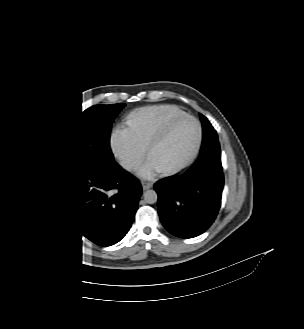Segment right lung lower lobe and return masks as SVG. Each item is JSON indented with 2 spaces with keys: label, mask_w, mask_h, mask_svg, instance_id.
Instances as JSON below:
<instances>
[{
  "label": "right lung lower lobe",
  "mask_w": 304,
  "mask_h": 329,
  "mask_svg": "<svg viewBox=\"0 0 304 329\" xmlns=\"http://www.w3.org/2000/svg\"><path fill=\"white\" fill-rule=\"evenodd\" d=\"M59 185L67 214L90 241L110 246L127 234L142 188L117 163L61 170Z\"/></svg>",
  "instance_id": "obj_1"
}]
</instances>
